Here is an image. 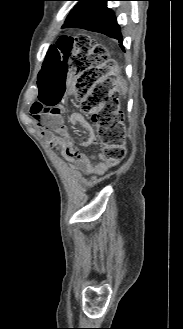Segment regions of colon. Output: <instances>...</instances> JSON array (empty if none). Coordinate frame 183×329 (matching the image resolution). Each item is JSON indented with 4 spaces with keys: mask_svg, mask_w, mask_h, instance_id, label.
Returning a JSON list of instances; mask_svg holds the SVG:
<instances>
[{
    "mask_svg": "<svg viewBox=\"0 0 183 329\" xmlns=\"http://www.w3.org/2000/svg\"><path fill=\"white\" fill-rule=\"evenodd\" d=\"M57 43L55 50L40 56L43 66L39 67V72L61 74H43L32 114L53 122L60 116L63 103H79L96 125L104 162L115 165L126 155L125 125L118 101L110 96L111 83L99 82V75L89 67L87 55L91 44H96V37H58ZM99 54L100 51L95 50L94 55L89 56L92 68L100 67ZM101 61L114 62L115 56L102 55ZM73 68L76 69L75 79L74 74H66L72 73ZM112 72L118 73L119 67L113 66ZM42 127L51 132L57 129L54 125Z\"/></svg>",
    "mask_w": 183,
    "mask_h": 329,
    "instance_id": "5ec220e1",
    "label": "colon"
}]
</instances>
